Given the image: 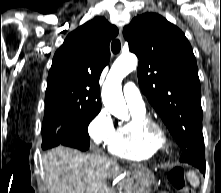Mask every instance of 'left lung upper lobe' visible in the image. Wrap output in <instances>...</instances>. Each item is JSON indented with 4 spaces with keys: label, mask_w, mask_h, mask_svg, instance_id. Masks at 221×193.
<instances>
[{
    "label": "left lung upper lobe",
    "mask_w": 221,
    "mask_h": 193,
    "mask_svg": "<svg viewBox=\"0 0 221 193\" xmlns=\"http://www.w3.org/2000/svg\"><path fill=\"white\" fill-rule=\"evenodd\" d=\"M123 35L139 59L142 92L182 151L202 145L200 81L184 33L161 15L145 13L125 26Z\"/></svg>",
    "instance_id": "left-lung-upper-lobe-1"
}]
</instances>
